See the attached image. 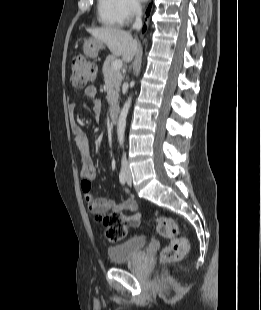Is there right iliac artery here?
I'll list each match as a JSON object with an SVG mask.
<instances>
[{
	"label": "right iliac artery",
	"instance_id": "obj_1",
	"mask_svg": "<svg viewBox=\"0 0 261 310\" xmlns=\"http://www.w3.org/2000/svg\"><path fill=\"white\" fill-rule=\"evenodd\" d=\"M119 180H120L121 184H123V185L126 183V180H127L126 173H125V170L123 167L121 168V171L119 174Z\"/></svg>",
	"mask_w": 261,
	"mask_h": 310
}]
</instances>
